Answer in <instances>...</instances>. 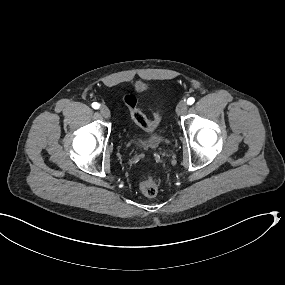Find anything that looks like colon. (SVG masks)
Here are the masks:
<instances>
[{"mask_svg": "<svg viewBox=\"0 0 285 285\" xmlns=\"http://www.w3.org/2000/svg\"><path fill=\"white\" fill-rule=\"evenodd\" d=\"M123 101L130 109L131 117L138 126L147 131H153L159 126L161 116L157 114L152 120L148 119L137 108V99L133 94L125 95L123 97ZM139 189L143 195L147 197H154L158 194L159 184L154 177L149 176L146 180L140 182Z\"/></svg>", "mask_w": 285, "mask_h": 285, "instance_id": "colon-1", "label": "colon"}]
</instances>
